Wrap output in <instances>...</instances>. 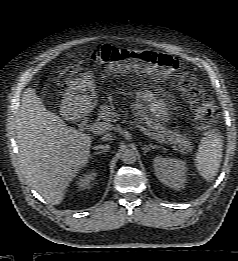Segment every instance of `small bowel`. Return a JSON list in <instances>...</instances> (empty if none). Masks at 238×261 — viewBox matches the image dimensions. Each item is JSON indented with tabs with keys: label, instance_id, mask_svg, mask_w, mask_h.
I'll return each mask as SVG.
<instances>
[{
	"label": "small bowel",
	"instance_id": "c3829d8e",
	"mask_svg": "<svg viewBox=\"0 0 238 261\" xmlns=\"http://www.w3.org/2000/svg\"><path fill=\"white\" fill-rule=\"evenodd\" d=\"M145 106L150 107L151 111L160 119H166L169 115L167 102L148 90L136 94L135 107L141 109Z\"/></svg>",
	"mask_w": 238,
	"mask_h": 261
}]
</instances>
